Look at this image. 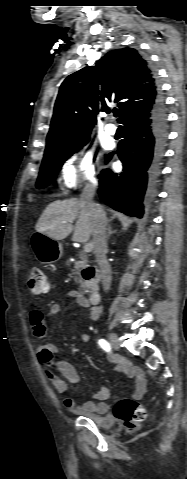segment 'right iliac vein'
<instances>
[{"instance_id": "obj_1", "label": "right iliac vein", "mask_w": 187, "mask_h": 479, "mask_svg": "<svg viewBox=\"0 0 187 479\" xmlns=\"http://www.w3.org/2000/svg\"><path fill=\"white\" fill-rule=\"evenodd\" d=\"M109 341H110L113 348L119 349L120 344H119L118 337L115 333H113V332L109 333Z\"/></svg>"}]
</instances>
